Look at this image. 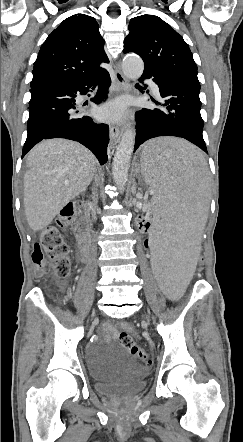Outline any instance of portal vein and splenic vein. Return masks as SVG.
<instances>
[{"instance_id": "obj_1", "label": "portal vein and splenic vein", "mask_w": 243, "mask_h": 442, "mask_svg": "<svg viewBox=\"0 0 243 442\" xmlns=\"http://www.w3.org/2000/svg\"><path fill=\"white\" fill-rule=\"evenodd\" d=\"M65 183L67 184L68 183V181H65ZM154 193V191L153 190H151L150 191V194H153Z\"/></svg>"}]
</instances>
